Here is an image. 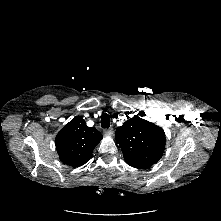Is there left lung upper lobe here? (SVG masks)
Masks as SVG:
<instances>
[{
	"label": "left lung upper lobe",
	"mask_w": 221,
	"mask_h": 221,
	"mask_svg": "<svg viewBox=\"0 0 221 221\" xmlns=\"http://www.w3.org/2000/svg\"><path fill=\"white\" fill-rule=\"evenodd\" d=\"M126 163L138 169L155 164L163 155L166 137L159 126L134 116L115 133Z\"/></svg>",
	"instance_id": "5c2ea615"
}]
</instances>
